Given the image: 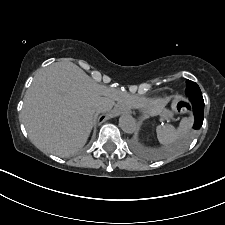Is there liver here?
Masks as SVG:
<instances>
[{"label": "liver", "instance_id": "liver-1", "mask_svg": "<svg viewBox=\"0 0 225 225\" xmlns=\"http://www.w3.org/2000/svg\"><path fill=\"white\" fill-rule=\"evenodd\" d=\"M115 101L133 108L144 105L136 96L96 83L72 62H56L34 76L24 97L22 122L37 148L67 157L87 142L98 106L106 111Z\"/></svg>", "mask_w": 225, "mask_h": 225}]
</instances>
